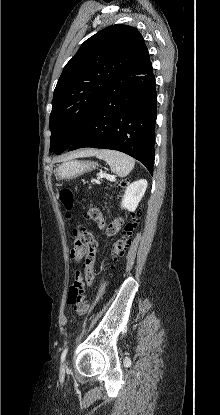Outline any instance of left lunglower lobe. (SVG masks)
<instances>
[{"mask_svg": "<svg viewBox=\"0 0 220 415\" xmlns=\"http://www.w3.org/2000/svg\"><path fill=\"white\" fill-rule=\"evenodd\" d=\"M152 72L149 62L139 72L118 77L68 150L92 147L121 151L153 174L157 93Z\"/></svg>", "mask_w": 220, "mask_h": 415, "instance_id": "1", "label": "left lung lower lobe"}]
</instances>
